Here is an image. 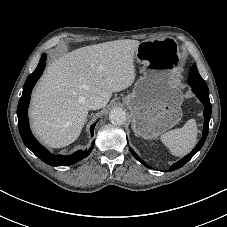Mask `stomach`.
Masks as SVG:
<instances>
[{
    "label": "stomach",
    "instance_id": "0dacf381",
    "mask_svg": "<svg viewBox=\"0 0 227 227\" xmlns=\"http://www.w3.org/2000/svg\"><path fill=\"white\" fill-rule=\"evenodd\" d=\"M134 57L143 65L142 76L124 102L131 112L135 134L154 139L182 118L183 96L176 83L182 55L176 46L163 40H145Z\"/></svg>",
    "mask_w": 227,
    "mask_h": 227
}]
</instances>
